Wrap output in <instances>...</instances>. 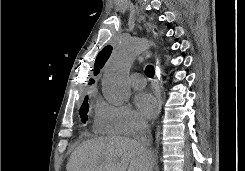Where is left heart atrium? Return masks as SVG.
<instances>
[{
  "mask_svg": "<svg viewBox=\"0 0 245 171\" xmlns=\"http://www.w3.org/2000/svg\"><path fill=\"white\" fill-rule=\"evenodd\" d=\"M134 102L141 114L147 118L153 117L157 112V99L148 92L138 93L135 96Z\"/></svg>",
  "mask_w": 245,
  "mask_h": 171,
  "instance_id": "1",
  "label": "left heart atrium"
}]
</instances>
